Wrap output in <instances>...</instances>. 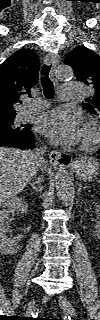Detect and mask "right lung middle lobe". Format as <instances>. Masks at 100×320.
<instances>
[{
    "mask_svg": "<svg viewBox=\"0 0 100 320\" xmlns=\"http://www.w3.org/2000/svg\"><path fill=\"white\" fill-rule=\"evenodd\" d=\"M14 118L15 117L0 119V134L7 133L11 135H20L30 131L29 125L14 124Z\"/></svg>",
    "mask_w": 100,
    "mask_h": 320,
    "instance_id": "1",
    "label": "right lung middle lobe"
}]
</instances>
